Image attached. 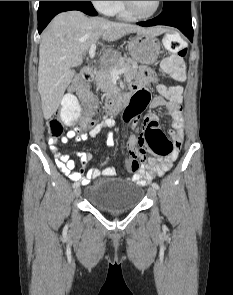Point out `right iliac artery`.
Masks as SVG:
<instances>
[{
    "mask_svg": "<svg viewBox=\"0 0 233 295\" xmlns=\"http://www.w3.org/2000/svg\"><path fill=\"white\" fill-rule=\"evenodd\" d=\"M76 180H78V177L76 178ZM77 186V182H75L74 184H73V188H75Z\"/></svg>",
    "mask_w": 233,
    "mask_h": 295,
    "instance_id": "right-iliac-artery-1",
    "label": "right iliac artery"
}]
</instances>
